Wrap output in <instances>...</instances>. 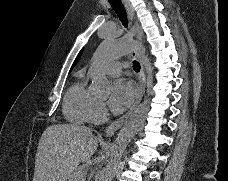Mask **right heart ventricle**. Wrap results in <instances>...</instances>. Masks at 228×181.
Masks as SVG:
<instances>
[{"mask_svg":"<svg viewBox=\"0 0 228 181\" xmlns=\"http://www.w3.org/2000/svg\"><path fill=\"white\" fill-rule=\"evenodd\" d=\"M96 76V70L90 68L86 71H78L74 75V83L66 94L64 113L73 122H84L91 118L92 109L96 97L92 91V84ZM93 79L90 85V80Z\"/></svg>","mask_w":228,"mask_h":181,"instance_id":"e07e8e85","label":"right heart ventricle"}]
</instances>
